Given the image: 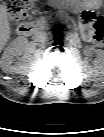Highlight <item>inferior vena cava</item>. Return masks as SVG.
Wrapping results in <instances>:
<instances>
[{
    "instance_id": "602c4592",
    "label": "inferior vena cava",
    "mask_w": 104,
    "mask_h": 137,
    "mask_svg": "<svg viewBox=\"0 0 104 137\" xmlns=\"http://www.w3.org/2000/svg\"><path fill=\"white\" fill-rule=\"evenodd\" d=\"M33 37L36 41H44L47 38V34L45 32L37 31Z\"/></svg>"
}]
</instances>
